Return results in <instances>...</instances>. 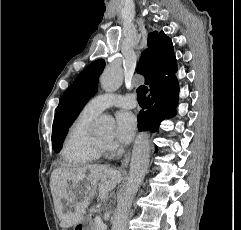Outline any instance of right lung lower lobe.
Listing matches in <instances>:
<instances>
[{"instance_id": "98d812e1", "label": "right lung lower lobe", "mask_w": 241, "mask_h": 230, "mask_svg": "<svg viewBox=\"0 0 241 230\" xmlns=\"http://www.w3.org/2000/svg\"><path fill=\"white\" fill-rule=\"evenodd\" d=\"M176 71L177 69L150 88L148 110L141 111L138 115L139 131L155 132L161 121L176 114L179 92L178 81L174 75Z\"/></svg>"}]
</instances>
